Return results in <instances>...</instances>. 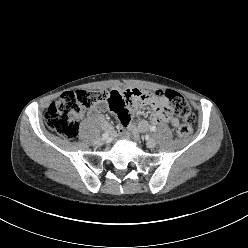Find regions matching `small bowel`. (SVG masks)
Returning <instances> with one entry per match:
<instances>
[{
    "label": "small bowel",
    "mask_w": 248,
    "mask_h": 248,
    "mask_svg": "<svg viewBox=\"0 0 248 248\" xmlns=\"http://www.w3.org/2000/svg\"><path fill=\"white\" fill-rule=\"evenodd\" d=\"M108 101L93 108L89 115L97 117L103 129L109 133L113 132L111 123L100 116L102 110L110 109L120 120V130H126L130 125V116L134 113L140 104L149 105L151 108V122L154 124L170 123L172 126H178V120L173 117L169 111L168 100L161 94H151L138 88H126L123 84L107 89ZM149 128L146 120H141L137 129L141 132Z\"/></svg>",
    "instance_id": "obj_1"
}]
</instances>
